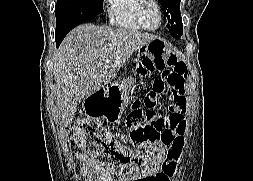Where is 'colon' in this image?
<instances>
[{"label":"colon","instance_id":"5ec220e1","mask_svg":"<svg viewBox=\"0 0 253 181\" xmlns=\"http://www.w3.org/2000/svg\"><path fill=\"white\" fill-rule=\"evenodd\" d=\"M148 46L141 52L153 55L164 73L154 81L144 103L138 99L131 102L125 119L131 143L145 150L133 151L102 126L85 119L75 125L78 144L104 171L138 175L165 164L173 155L175 131L180 130L178 114L185 104L183 88L187 69L175 56L179 55V47H168L161 38L148 41Z\"/></svg>","mask_w":253,"mask_h":181}]
</instances>
